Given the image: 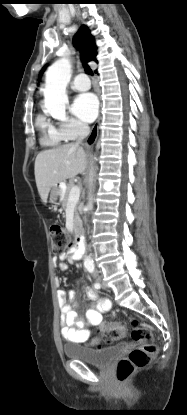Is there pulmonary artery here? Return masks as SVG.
Segmentation results:
<instances>
[{
    "label": "pulmonary artery",
    "mask_w": 187,
    "mask_h": 415,
    "mask_svg": "<svg viewBox=\"0 0 187 415\" xmlns=\"http://www.w3.org/2000/svg\"><path fill=\"white\" fill-rule=\"evenodd\" d=\"M91 83L85 74H78L71 82V88L76 91H86L90 88Z\"/></svg>",
    "instance_id": "obj_1"
}]
</instances>
